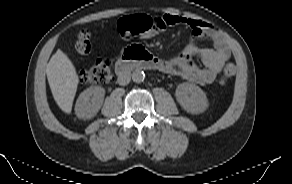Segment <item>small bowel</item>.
I'll use <instances>...</instances> for the list:
<instances>
[{"mask_svg":"<svg viewBox=\"0 0 292 184\" xmlns=\"http://www.w3.org/2000/svg\"><path fill=\"white\" fill-rule=\"evenodd\" d=\"M155 19L162 31L175 25H184L191 30V42L177 57L165 61L167 66L165 71L195 84L212 83L231 57L229 46L221 32L206 22L176 14H165ZM200 38L210 39L213 47H199L196 41ZM193 57H199L203 67L196 65Z\"/></svg>","mask_w":292,"mask_h":184,"instance_id":"obj_1","label":"small bowel"}]
</instances>
